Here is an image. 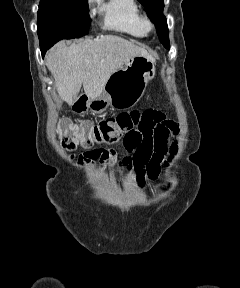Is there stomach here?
<instances>
[{
	"mask_svg": "<svg viewBox=\"0 0 240 288\" xmlns=\"http://www.w3.org/2000/svg\"><path fill=\"white\" fill-rule=\"evenodd\" d=\"M154 75L155 60L153 58L132 57L110 76L102 94L90 100L88 107L94 113L103 112L109 106L115 109L133 107L144 94L147 83Z\"/></svg>",
	"mask_w": 240,
	"mask_h": 288,
	"instance_id": "0dacf381",
	"label": "stomach"
}]
</instances>
